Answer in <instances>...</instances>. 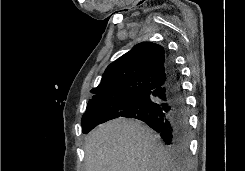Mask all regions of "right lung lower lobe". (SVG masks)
<instances>
[{
	"label": "right lung lower lobe",
	"mask_w": 245,
	"mask_h": 171,
	"mask_svg": "<svg viewBox=\"0 0 245 171\" xmlns=\"http://www.w3.org/2000/svg\"><path fill=\"white\" fill-rule=\"evenodd\" d=\"M166 83L148 94H140L124 103L120 110L101 123L117 118H135L160 134L165 144L176 149L179 158L187 156L188 113L179 74L168 55Z\"/></svg>",
	"instance_id": "98d812e1"
}]
</instances>
